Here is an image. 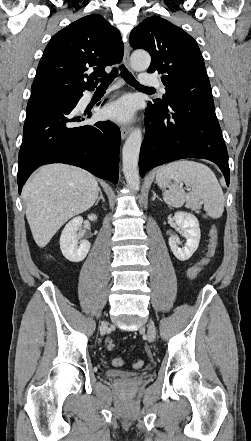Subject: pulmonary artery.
<instances>
[{
	"label": "pulmonary artery",
	"instance_id": "e3ab8cb5",
	"mask_svg": "<svg viewBox=\"0 0 251 441\" xmlns=\"http://www.w3.org/2000/svg\"><path fill=\"white\" fill-rule=\"evenodd\" d=\"M140 83L146 86H154L159 88V90L164 93L165 92V87L160 83V81L148 74H142L140 76Z\"/></svg>",
	"mask_w": 251,
	"mask_h": 441
}]
</instances>
